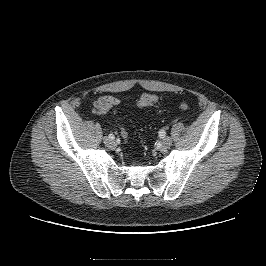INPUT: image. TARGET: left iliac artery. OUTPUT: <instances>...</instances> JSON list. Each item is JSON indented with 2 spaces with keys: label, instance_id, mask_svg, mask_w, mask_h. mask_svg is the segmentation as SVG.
<instances>
[{
  "label": "left iliac artery",
  "instance_id": "obj_1",
  "mask_svg": "<svg viewBox=\"0 0 266 266\" xmlns=\"http://www.w3.org/2000/svg\"><path fill=\"white\" fill-rule=\"evenodd\" d=\"M166 131H164V130H162V131H160V132H158V134H157V138H158V140H163V139H165V137H166Z\"/></svg>",
  "mask_w": 266,
  "mask_h": 266
}]
</instances>
